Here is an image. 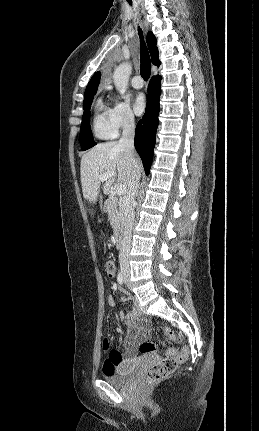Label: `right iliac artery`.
I'll return each mask as SVG.
<instances>
[{
  "mask_svg": "<svg viewBox=\"0 0 259 431\" xmlns=\"http://www.w3.org/2000/svg\"><path fill=\"white\" fill-rule=\"evenodd\" d=\"M117 281H118V283H119L120 285H122V284H123V272H122V270H120V271L118 272V275H117Z\"/></svg>",
  "mask_w": 259,
  "mask_h": 431,
  "instance_id": "right-iliac-artery-1",
  "label": "right iliac artery"
}]
</instances>
